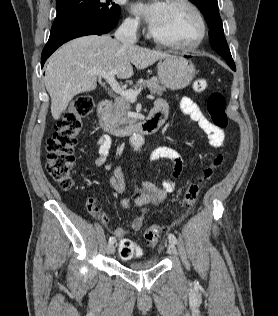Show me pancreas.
Masks as SVG:
<instances>
[{"instance_id":"obj_1","label":"pancreas","mask_w":278,"mask_h":316,"mask_svg":"<svg viewBox=\"0 0 278 316\" xmlns=\"http://www.w3.org/2000/svg\"><path fill=\"white\" fill-rule=\"evenodd\" d=\"M147 87L151 94H157L161 96L166 90L164 86L160 85L158 79L153 77L151 79H139L134 85L132 90L137 88ZM130 101L123 96L116 97L113 108L108 113V121L114 127L127 125L133 121L132 118L127 117V113L130 111Z\"/></svg>"}]
</instances>
